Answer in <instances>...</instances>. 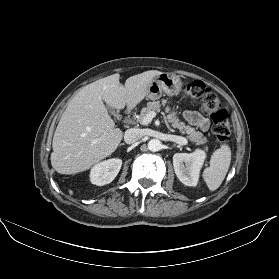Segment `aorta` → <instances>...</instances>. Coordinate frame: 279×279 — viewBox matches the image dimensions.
<instances>
[{
    "instance_id": "obj_1",
    "label": "aorta",
    "mask_w": 279,
    "mask_h": 279,
    "mask_svg": "<svg viewBox=\"0 0 279 279\" xmlns=\"http://www.w3.org/2000/svg\"><path fill=\"white\" fill-rule=\"evenodd\" d=\"M162 143L159 139H151L148 142V149L152 152L159 151L161 149Z\"/></svg>"
}]
</instances>
